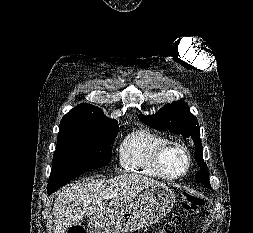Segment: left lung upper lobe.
Returning a JSON list of instances; mask_svg holds the SVG:
<instances>
[{
    "label": "left lung upper lobe",
    "instance_id": "5c2ea615",
    "mask_svg": "<svg viewBox=\"0 0 253 233\" xmlns=\"http://www.w3.org/2000/svg\"><path fill=\"white\" fill-rule=\"evenodd\" d=\"M138 117L143 123L157 130H169L182 135L184 139L192 138L195 145V160L200 167L195 179L212 189L207 173V165L203 161L198 121L190 113L189 107L184 101L167 104L155 115L144 116L141 114Z\"/></svg>",
    "mask_w": 253,
    "mask_h": 233
}]
</instances>
